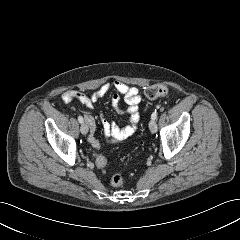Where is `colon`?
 <instances>
[{"instance_id": "obj_1", "label": "colon", "mask_w": 240, "mask_h": 240, "mask_svg": "<svg viewBox=\"0 0 240 240\" xmlns=\"http://www.w3.org/2000/svg\"><path fill=\"white\" fill-rule=\"evenodd\" d=\"M169 89L166 85L163 84H156L147 87L144 91L145 96L148 99H156L159 97H164L168 94ZM96 165L104 169L107 166V160L103 155H98L96 157ZM123 176L121 174H115L111 178V185L113 187H120L123 184Z\"/></svg>"}]
</instances>
